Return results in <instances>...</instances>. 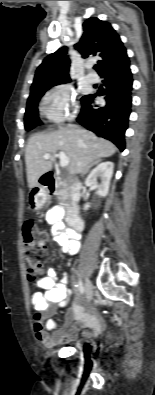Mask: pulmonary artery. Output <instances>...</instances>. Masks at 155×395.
I'll list each match as a JSON object with an SVG mask.
<instances>
[{"label":"pulmonary artery","instance_id":"pulmonary-artery-1","mask_svg":"<svg viewBox=\"0 0 155 395\" xmlns=\"http://www.w3.org/2000/svg\"><path fill=\"white\" fill-rule=\"evenodd\" d=\"M86 80H87L89 83H96V82L98 81V77H97V75L94 74V73H89V74H87V76H86Z\"/></svg>","mask_w":155,"mask_h":395}]
</instances>
